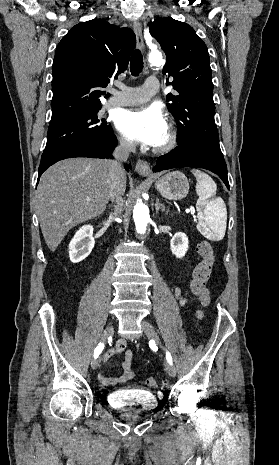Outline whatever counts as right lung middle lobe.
<instances>
[{"label": "right lung middle lobe", "mask_w": 279, "mask_h": 465, "mask_svg": "<svg viewBox=\"0 0 279 465\" xmlns=\"http://www.w3.org/2000/svg\"><path fill=\"white\" fill-rule=\"evenodd\" d=\"M100 108L51 124L48 128L47 143L41 161L75 142L84 139L98 141L113 135L111 126L105 122V119L97 116Z\"/></svg>", "instance_id": "right-lung-middle-lobe-1"}]
</instances>
